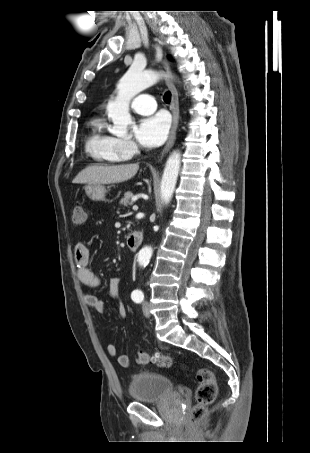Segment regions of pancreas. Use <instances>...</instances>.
Instances as JSON below:
<instances>
[{
    "label": "pancreas",
    "mask_w": 310,
    "mask_h": 453,
    "mask_svg": "<svg viewBox=\"0 0 310 453\" xmlns=\"http://www.w3.org/2000/svg\"><path fill=\"white\" fill-rule=\"evenodd\" d=\"M133 197V193L132 192H126L124 194V197L120 200V205H123L125 207H128L130 206L132 203L130 202V199Z\"/></svg>",
    "instance_id": "cf45deb5"
}]
</instances>
